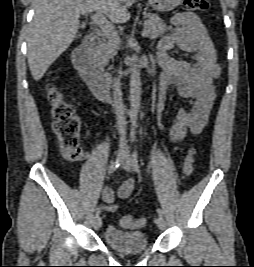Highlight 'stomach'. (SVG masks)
I'll list each match as a JSON object with an SVG mask.
<instances>
[{
	"mask_svg": "<svg viewBox=\"0 0 254 267\" xmlns=\"http://www.w3.org/2000/svg\"><path fill=\"white\" fill-rule=\"evenodd\" d=\"M148 2L155 10L168 12L180 5L182 0H148Z\"/></svg>",
	"mask_w": 254,
	"mask_h": 267,
	"instance_id": "obj_1",
	"label": "stomach"
}]
</instances>
